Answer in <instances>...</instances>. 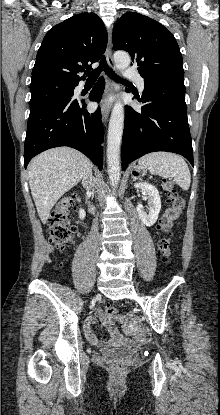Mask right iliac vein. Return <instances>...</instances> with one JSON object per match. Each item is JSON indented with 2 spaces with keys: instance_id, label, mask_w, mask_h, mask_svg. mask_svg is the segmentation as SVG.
I'll return each instance as SVG.
<instances>
[{
  "instance_id": "63e3f726",
  "label": "right iliac vein",
  "mask_w": 220,
  "mask_h": 415,
  "mask_svg": "<svg viewBox=\"0 0 220 415\" xmlns=\"http://www.w3.org/2000/svg\"><path fill=\"white\" fill-rule=\"evenodd\" d=\"M97 297H98V294L95 295V298H97Z\"/></svg>"
}]
</instances>
